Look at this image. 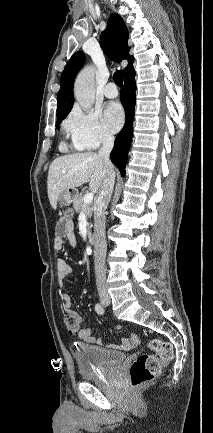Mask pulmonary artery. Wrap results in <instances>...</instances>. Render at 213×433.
Returning <instances> with one entry per match:
<instances>
[{
  "label": "pulmonary artery",
  "instance_id": "pulmonary-artery-1",
  "mask_svg": "<svg viewBox=\"0 0 213 433\" xmlns=\"http://www.w3.org/2000/svg\"><path fill=\"white\" fill-rule=\"evenodd\" d=\"M103 93L107 98H115L118 95V90L114 83H108L104 89Z\"/></svg>",
  "mask_w": 213,
  "mask_h": 433
}]
</instances>
